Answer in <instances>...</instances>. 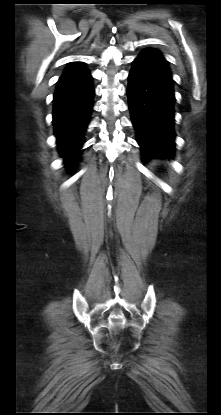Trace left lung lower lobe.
<instances>
[{
  "mask_svg": "<svg viewBox=\"0 0 221 415\" xmlns=\"http://www.w3.org/2000/svg\"><path fill=\"white\" fill-rule=\"evenodd\" d=\"M128 76V106L142 160L172 157L175 149L172 73L160 58L140 53Z\"/></svg>",
  "mask_w": 221,
  "mask_h": 415,
  "instance_id": "1",
  "label": "left lung lower lobe"
}]
</instances>
